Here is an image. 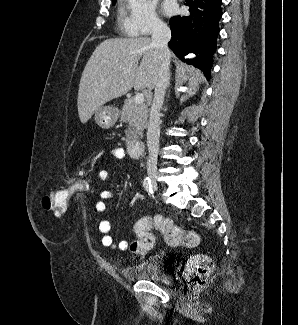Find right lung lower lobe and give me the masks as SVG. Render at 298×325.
<instances>
[{"label":"right lung lower lobe","mask_w":298,"mask_h":325,"mask_svg":"<svg viewBox=\"0 0 298 325\" xmlns=\"http://www.w3.org/2000/svg\"><path fill=\"white\" fill-rule=\"evenodd\" d=\"M221 4L222 0H185L190 14L170 20L172 38L169 47L183 61L185 55L194 53L196 58L186 62L202 70L207 78L216 50Z\"/></svg>","instance_id":"obj_1"}]
</instances>
